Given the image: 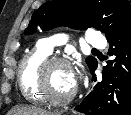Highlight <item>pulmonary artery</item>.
Segmentation results:
<instances>
[{
  "label": "pulmonary artery",
  "mask_w": 131,
  "mask_h": 115,
  "mask_svg": "<svg viewBox=\"0 0 131 115\" xmlns=\"http://www.w3.org/2000/svg\"><path fill=\"white\" fill-rule=\"evenodd\" d=\"M61 40L62 37L44 38L40 41V47L48 53H51L53 46L56 44V42ZM86 42L88 45L98 48H104L106 45L104 36L97 31H89L87 33Z\"/></svg>",
  "instance_id": "e3ab8cb5"
}]
</instances>
